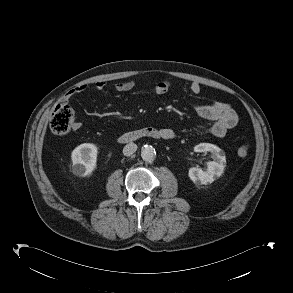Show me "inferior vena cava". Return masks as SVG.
<instances>
[{
	"mask_svg": "<svg viewBox=\"0 0 293 293\" xmlns=\"http://www.w3.org/2000/svg\"><path fill=\"white\" fill-rule=\"evenodd\" d=\"M137 150V145L133 142H130L129 144L125 145L123 148V154L125 156H131L133 153H135Z\"/></svg>",
	"mask_w": 293,
	"mask_h": 293,
	"instance_id": "obj_1",
	"label": "inferior vena cava"
}]
</instances>
